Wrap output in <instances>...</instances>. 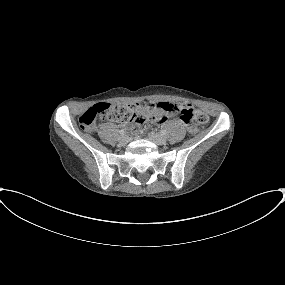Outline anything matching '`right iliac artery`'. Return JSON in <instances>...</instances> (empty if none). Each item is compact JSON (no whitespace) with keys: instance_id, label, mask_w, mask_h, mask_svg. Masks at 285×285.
I'll list each match as a JSON object with an SVG mask.
<instances>
[{"instance_id":"1","label":"right iliac artery","mask_w":285,"mask_h":285,"mask_svg":"<svg viewBox=\"0 0 285 285\" xmlns=\"http://www.w3.org/2000/svg\"><path fill=\"white\" fill-rule=\"evenodd\" d=\"M119 134H120V135H124V134H125V130H124V129H121V130L119 131Z\"/></svg>"}]
</instances>
